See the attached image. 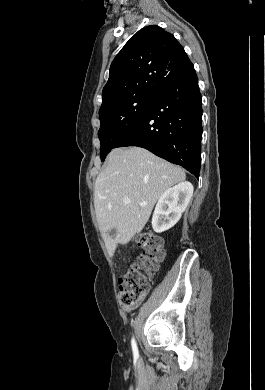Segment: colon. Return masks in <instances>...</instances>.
Returning <instances> with one entry per match:
<instances>
[{
    "label": "colon",
    "instance_id": "5ec220e1",
    "mask_svg": "<svg viewBox=\"0 0 265 390\" xmlns=\"http://www.w3.org/2000/svg\"><path fill=\"white\" fill-rule=\"evenodd\" d=\"M141 253L120 278L119 300L123 306H131L143 299L149 289L159 263L164 257L163 241L151 232H142L137 239Z\"/></svg>",
    "mask_w": 265,
    "mask_h": 390
}]
</instances>
